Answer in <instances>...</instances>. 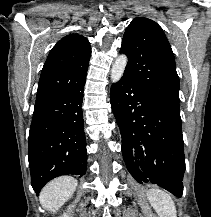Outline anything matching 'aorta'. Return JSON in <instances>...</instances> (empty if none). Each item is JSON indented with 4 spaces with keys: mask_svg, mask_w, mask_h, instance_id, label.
Segmentation results:
<instances>
[{
    "mask_svg": "<svg viewBox=\"0 0 211 217\" xmlns=\"http://www.w3.org/2000/svg\"><path fill=\"white\" fill-rule=\"evenodd\" d=\"M128 58L125 55H119L112 65L111 80L112 82H118L123 76L125 67L127 65Z\"/></svg>",
    "mask_w": 211,
    "mask_h": 217,
    "instance_id": "obj_1",
    "label": "aorta"
}]
</instances>
